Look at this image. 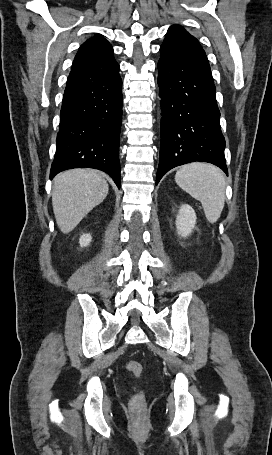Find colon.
I'll use <instances>...</instances> for the list:
<instances>
[{"mask_svg":"<svg viewBox=\"0 0 272 455\" xmlns=\"http://www.w3.org/2000/svg\"><path fill=\"white\" fill-rule=\"evenodd\" d=\"M127 370L134 376L140 377L143 368L142 365L139 362L136 361H130L126 365ZM143 402H144V396L142 393H137L136 395L133 396L131 400V406L134 411V413H140L143 408Z\"/></svg>","mask_w":272,"mask_h":455,"instance_id":"obj_1","label":"colon"}]
</instances>
